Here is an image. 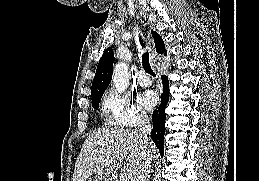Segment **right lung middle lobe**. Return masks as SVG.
<instances>
[{
    "instance_id": "obj_1",
    "label": "right lung middle lobe",
    "mask_w": 259,
    "mask_h": 181,
    "mask_svg": "<svg viewBox=\"0 0 259 181\" xmlns=\"http://www.w3.org/2000/svg\"><path fill=\"white\" fill-rule=\"evenodd\" d=\"M102 95L103 94L98 95V96L92 98V107L94 109H98L99 108V102L101 100Z\"/></svg>"
}]
</instances>
